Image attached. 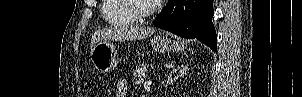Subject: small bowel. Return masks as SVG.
<instances>
[{"label": "small bowel", "mask_w": 302, "mask_h": 97, "mask_svg": "<svg viewBox=\"0 0 302 97\" xmlns=\"http://www.w3.org/2000/svg\"><path fill=\"white\" fill-rule=\"evenodd\" d=\"M127 90H128L127 82L121 81L116 88L115 97H126Z\"/></svg>", "instance_id": "1"}]
</instances>
